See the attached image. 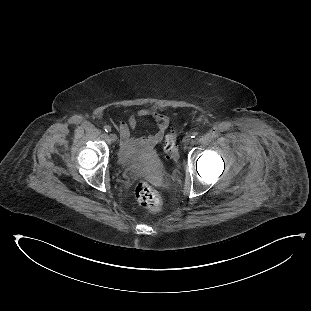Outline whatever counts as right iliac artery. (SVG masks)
Instances as JSON below:
<instances>
[{"label":"right iliac artery","mask_w":311,"mask_h":311,"mask_svg":"<svg viewBox=\"0 0 311 311\" xmlns=\"http://www.w3.org/2000/svg\"><path fill=\"white\" fill-rule=\"evenodd\" d=\"M104 130L108 133L111 131V127L106 125V126H104Z\"/></svg>","instance_id":"82829eb1"}]
</instances>
